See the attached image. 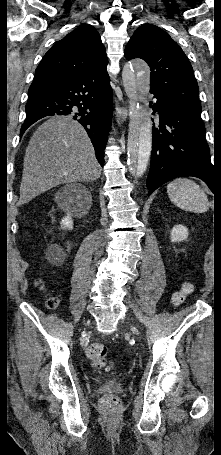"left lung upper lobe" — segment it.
<instances>
[{
	"label": "left lung upper lobe",
	"instance_id": "left-lung-upper-lobe-1",
	"mask_svg": "<svg viewBox=\"0 0 221 455\" xmlns=\"http://www.w3.org/2000/svg\"><path fill=\"white\" fill-rule=\"evenodd\" d=\"M124 53L126 59L141 58L150 66V91L201 113L193 68L180 46L165 31L151 24L140 26Z\"/></svg>",
	"mask_w": 221,
	"mask_h": 455
}]
</instances>
